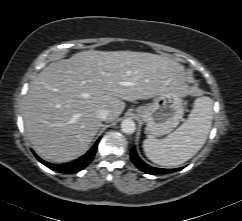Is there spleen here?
Instances as JSON below:
<instances>
[{
    "instance_id": "obj_1",
    "label": "spleen",
    "mask_w": 242,
    "mask_h": 221,
    "mask_svg": "<svg viewBox=\"0 0 242 221\" xmlns=\"http://www.w3.org/2000/svg\"><path fill=\"white\" fill-rule=\"evenodd\" d=\"M212 119L213 100L206 96L197 98L188 118L178 129L161 140H144L145 155L161 166L175 167L183 164L205 144Z\"/></svg>"
}]
</instances>
